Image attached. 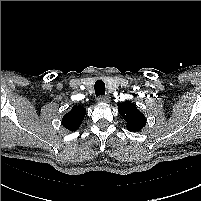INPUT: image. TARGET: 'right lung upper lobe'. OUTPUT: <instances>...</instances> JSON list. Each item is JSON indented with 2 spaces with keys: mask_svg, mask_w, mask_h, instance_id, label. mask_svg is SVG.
<instances>
[{
  "mask_svg": "<svg viewBox=\"0 0 201 201\" xmlns=\"http://www.w3.org/2000/svg\"><path fill=\"white\" fill-rule=\"evenodd\" d=\"M85 113L86 109L84 107L74 105L71 111L63 116L62 125L70 131H76L80 127Z\"/></svg>",
  "mask_w": 201,
  "mask_h": 201,
  "instance_id": "1",
  "label": "right lung upper lobe"
}]
</instances>
